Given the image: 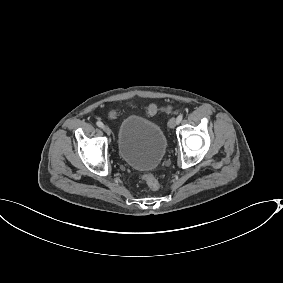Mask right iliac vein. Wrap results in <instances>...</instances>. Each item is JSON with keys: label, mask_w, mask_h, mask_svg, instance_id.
Returning a JSON list of instances; mask_svg holds the SVG:
<instances>
[{"label": "right iliac vein", "mask_w": 283, "mask_h": 283, "mask_svg": "<svg viewBox=\"0 0 283 283\" xmlns=\"http://www.w3.org/2000/svg\"><path fill=\"white\" fill-rule=\"evenodd\" d=\"M102 129H103V131H104L106 134H108V135L111 134V130H110V128H109L108 126H104Z\"/></svg>", "instance_id": "63e3f726"}]
</instances>
